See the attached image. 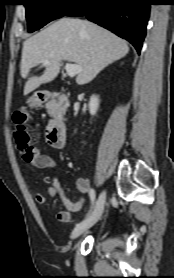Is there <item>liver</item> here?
Listing matches in <instances>:
<instances>
[{"instance_id": "obj_1", "label": "liver", "mask_w": 174, "mask_h": 278, "mask_svg": "<svg viewBox=\"0 0 174 278\" xmlns=\"http://www.w3.org/2000/svg\"><path fill=\"white\" fill-rule=\"evenodd\" d=\"M128 52L127 42L110 31L87 20L61 18L23 43L21 76L26 79L37 65L45 67L41 76L28 78L24 95L53 81L60 72L63 60L82 67L76 82L83 85ZM45 59L48 63H44Z\"/></svg>"}]
</instances>
